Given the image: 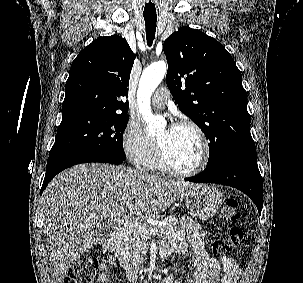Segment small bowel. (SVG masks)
<instances>
[{
    "instance_id": "small-bowel-1",
    "label": "small bowel",
    "mask_w": 303,
    "mask_h": 283,
    "mask_svg": "<svg viewBox=\"0 0 303 283\" xmlns=\"http://www.w3.org/2000/svg\"><path fill=\"white\" fill-rule=\"evenodd\" d=\"M209 247L210 242L205 239L199 225L192 219L184 217L177 232L160 246V257L165 259L169 254L185 253L190 250L198 272L186 283H238L242 275L239 265L231 257L212 256ZM114 262L112 256H107L101 261L98 283H110L107 271ZM161 283L177 282L172 274H167Z\"/></svg>"
}]
</instances>
